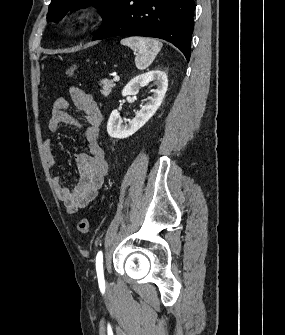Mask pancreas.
Segmentation results:
<instances>
[{
  "mask_svg": "<svg viewBox=\"0 0 285 335\" xmlns=\"http://www.w3.org/2000/svg\"><path fill=\"white\" fill-rule=\"evenodd\" d=\"M98 86H100V92L103 94V96H109L112 88H114L116 84L115 82H112V80H107V78H104V80H100Z\"/></svg>",
  "mask_w": 285,
  "mask_h": 335,
  "instance_id": "pancreas-1",
  "label": "pancreas"
}]
</instances>
